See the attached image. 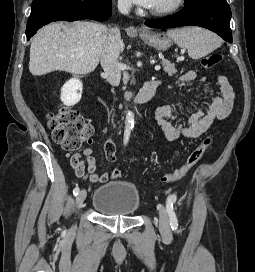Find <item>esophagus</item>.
Returning <instances> with one entry per match:
<instances>
[{
  "label": "esophagus",
  "mask_w": 255,
  "mask_h": 272,
  "mask_svg": "<svg viewBox=\"0 0 255 272\" xmlns=\"http://www.w3.org/2000/svg\"><path fill=\"white\" fill-rule=\"evenodd\" d=\"M139 31L144 32V31H147V30L145 28H140Z\"/></svg>",
  "instance_id": "34e87169"
}]
</instances>
